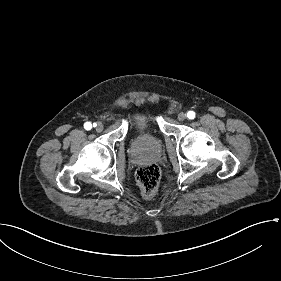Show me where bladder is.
Wrapping results in <instances>:
<instances>
[{
    "instance_id": "bladder-1",
    "label": "bladder",
    "mask_w": 281,
    "mask_h": 281,
    "mask_svg": "<svg viewBox=\"0 0 281 281\" xmlns=\"http://www.w3.org/2000/svg\"><path fill=\"white\" fill-rule=\"evenodd\" d=\"M128 126L132 134L153 132L158 128L157 116L151 107L142 106L136 108L128 117Z\"/></svg>"
}]
</instances>
